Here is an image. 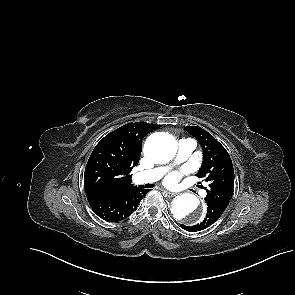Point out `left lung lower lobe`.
I'll return each instance as SVG.
<instances>
[{
  "label": "left lung lower lobe",
  "mask_w": 295,
  "mask_h": 295,
  "mask_svg": "<svg viewBox=\"0 0 295 295\" xmlns=\"http://www.w3.org/2000/svg\"><path fill=\"white\" fill-rule=\"evenodd\" d=\"M205 201L207 203V214L204 220L194 226H186L181 224L180 227L182 229L189 232H196L208 228L218 220V218L223 214L229 205V202L214 199H205Z\"/></svg>",
  "instance_id": "obj_1"
}]
</instances>
